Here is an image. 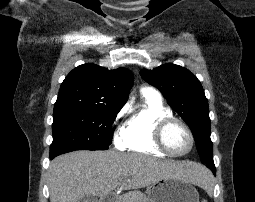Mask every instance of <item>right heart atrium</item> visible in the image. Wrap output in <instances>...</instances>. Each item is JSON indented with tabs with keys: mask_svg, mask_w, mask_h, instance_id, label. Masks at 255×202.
<instances>
[{
	"mask_svg": "<svg viewBox=\"0 0 255 202\" xmlns=\"http://www.w3.org/2000/svg\"><path fill=\"white\" fill-rule=\"evenodd\" d=\"M125 112H126V108L124 107V108H122V109L117 113L114 122L117 123V122L124 116ZM115 143H116V145L119 146V147H122V146H123V142H122L121 136H117V137L115 138Z\"/></svg>",
	"mask_w": 255,
	"mask_h": 202,
	"instance_id": "d8ad5b80",
	"label": "right heart atrium"
}]
</instances>
